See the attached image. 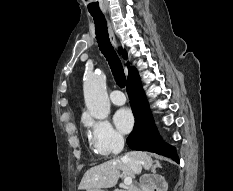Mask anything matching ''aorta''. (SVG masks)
<instances>
[{
    "mask_svg": "<svg viewBox=\"0 0 233 191\" xmlns=\"http://www.w3.org/2000/svg\"><path fill=\"white\" fill-rule=\"evenodd\" d=\"M86 107L96 119L104 120L110 113V102L106 91V77L103 73L86 76L83 85Z\"/></svg>",
    "mask_w": 233,
    "mask_h": 191,
    "instance_id": "obj_1",
    "label": "aorta"
}]
</instances>
